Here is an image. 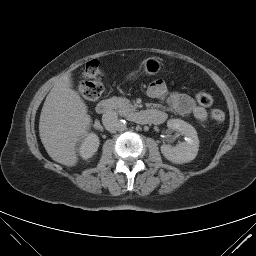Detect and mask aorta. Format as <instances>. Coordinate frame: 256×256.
<instances>
[{"label":"aorta","instance_id":"aorta-1","mask_svg":"<svg viewBox=\"0 0 256 256\" xmlns=\"http://www.w3.org/2000/svg\"><path fill=\"white\" fill-rule=\"evenodd\" d=\"M126 121L125 120H119L117 130L118 131H124L126 129Z\"/></svg>","mask_w":256,"mask_h":256}]
</instances>
